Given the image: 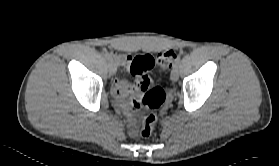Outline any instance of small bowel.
<instances>
[{
  "label": "small bowel",
  "instance_id": "small-bowel-1",
  "mask_svg": "<svg viewBox=\"0 0 279 166\" xmlns=\"http://www.w3.org/2000/svg\"><path fill=\"white\" fill-rule=\"evenodd\" d=\"M114 60L116 62V64L122 68L125 69H129L130 68V64L133 60L132 56L127 55V54H119L116 52L112 53ZM137 86L129 83L127 81H125L124 79L121 78H116L113 81L112 84V94L113 96L120 102L123 104V106H126L125 104V98L128 96H133L135 95L136 91H137ZM133 107H134V112L135 113H139L141 111V104L137 101L133 102ZM133 135L135 134V130H132L131 132Z\"/></svg>",
  "mask_w": 279,
  "mask_h": 166
}]
</instances>
